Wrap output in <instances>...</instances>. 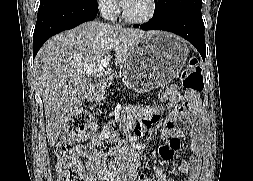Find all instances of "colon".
<instances>
[{
	"label": "colon",
	"mask_w": 253,
	"mask_h": 181,
	"mask_svg": "<svg viewBox=\"0 0 253 181\" xmlns=\"http://www.w3.org/2000/svg\"><path fill=\"white\" fill-rule=\"evenodd\" d=\"M182 86L193 93L202 91L204 82L201 68L196 60H192L190 69L183 75ZM93 129V119L86 112H78L68 120L64 139L58 146L59 181H90L74 156L72 141L84 139Z\"/></svg>",
	"instance_id": "5ec220e1"
}]
</instances>
